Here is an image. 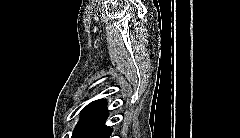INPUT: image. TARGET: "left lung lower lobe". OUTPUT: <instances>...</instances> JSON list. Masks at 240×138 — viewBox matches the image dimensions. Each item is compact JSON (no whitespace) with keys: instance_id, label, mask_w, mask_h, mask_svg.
Here are the masks:
<instances>
[{"instance_id":"0a47b994","label":"left lung lower lobe","mask_w":240,"mask_h":138,"mask_svg":"<svg viewBox=\"0 0 240 138\" xmlns=\"http://www.w3.org/2000/svg\"><path fill=\"white\" fill-rule=\"evenodd\" d=\"M107 117L108 109L105 105L90 120L78 138H109L113 130L104 125Z\"/></svg>"}]
</instances>
